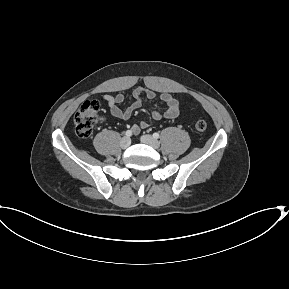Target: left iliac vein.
<instances>
[{"mask_svg":"<svg viewBox=\"0 0 289 289\" xmlns=\"http://www.w3.org/2000/svg\"><path fill=\"white\" fill-rule=\"evenodd\" d=\"M141 141L151 147L158 149L160 147V142L152 137L151 135H143L141 136Z\"/></svg>","mask_w":289,"mask_h":289,"instance_id":"4c4485c4","label":"left iliac vein"}]
</instances>
